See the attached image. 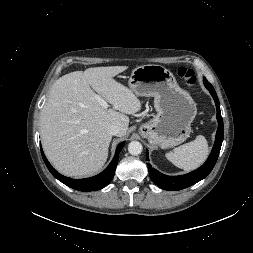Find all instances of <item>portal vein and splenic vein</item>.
<instances>
[{"label": "portal vein and splenic vein", "instance_id": "obj_1", "mask_svg": "<svg viewBox=\"0 0 253 253\" xmlns=\"http://www.w3.org/2000/svg\"><path fill=\"white\" fill-rule=\"evenodd\" d=\"M94 98L99 102V104H100L103 108L107 109V108L109 107L108 103H107L100 95L95 94V95H94Z\"/></svg>", "mask_w": 253, "mask_h": 253}]
</instances>
